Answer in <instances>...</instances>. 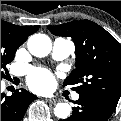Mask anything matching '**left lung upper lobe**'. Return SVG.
Here are the masks:
<instances>
[{
	"mask_svg": "<svg viewBox=\"0 0 121 121\" xmlns=\"http://www.w3.org/2000/svg\"><path fill=\"white\" fill-rule=\"evenodd\" d=\"M57 36L71 37L76 68L64 81L79 94L90 95L116 108L121 96V47L115 38L89 20L48 26Z\"/></svg>",
	"mask_w": 121,
	"mask_h": 121,
	"instance_id": "left-lung-upper-lobe-1",
	"label": "left lung upper lobe"
}]
</instances>
